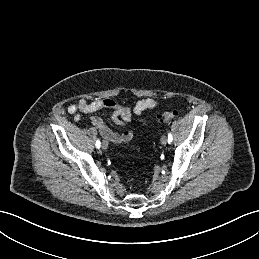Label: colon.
Instances as JSON below:
<instances>
[{
	"label": "colon",
	"mask_w": 259,
	"mask_h": 259,
	"mask_svg": "<svg viewBox=\"0 0 259 259\" xmlns=\"http://www.w3.org/2000/svg\"><path fill=\"white\" fill-rule=\"evenodd\" d=\"M177 116V112L173 110H167L159 114L158 119L161 123H168Z\"/></svg>",
	"instance_id": "5ec220e1"
}]
</instances>
